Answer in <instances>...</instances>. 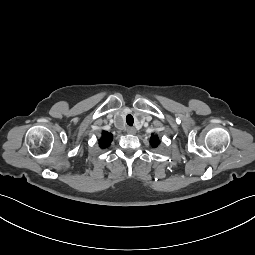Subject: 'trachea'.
I'll list each match as a JSON object with an SVG mask.
<instances>
[{"instance_id":"trachea-1","label":"trachea","mask_w":255,"mask_h":255,"mask_svg":"<svg viewBox=\"0 0 255 255\" xmlns=\"http://www.w3.org/2000/svg\"><path fill=\"white\" fill-rule=\"evenodd\" d=\"M126 122H127V124L129 125V126H132L133 125V123H134V118H133V116L132 115H127L126 116Z\"/></svg>"}]
</instances>
